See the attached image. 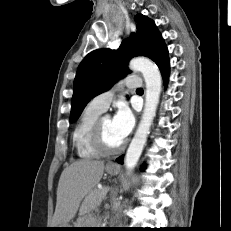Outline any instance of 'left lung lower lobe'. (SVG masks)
<instances>
[{
	"label": "left lung lower lobe",
	"mask_w": 231,
	"mask_h": 231,
	"mask_svg": "<svg viewBox=\"0 0 231 231\" xmlns=\"http://www.w3.org/2000/svg\"><path fill=\"white\" fill-rule=\"evenodd\" d=\"M152 60L157 64L159 67L161 74L164 79V83H167L168 76H169V58H168V50L167 47L164 44L161 45L156 55L152 58ZM116 161L120 164L123 163V156H120L116 159ZM145 168V165L142 166L141 170L143 171Z\"/></svg>",
	"instance_id": "obj_1"
}]
</instances>
